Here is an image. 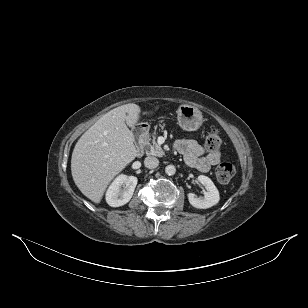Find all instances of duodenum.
<instances>
[{"label":"duodenum","instance_id":"duodenum-1","mask_svg":"<svg viewBox=\"0 0 308 308\" xmlns=\"http://www.w3.org/2000/svg\"><path fill=\"white\" fill-rule=\"evenodd\" d=\"M148 127L147 125H140L135 130L136 138V154L141 156L144 152V138L147 135Z\"/></svg>","mask_w":308,"mask_h":308}]
</instances>
